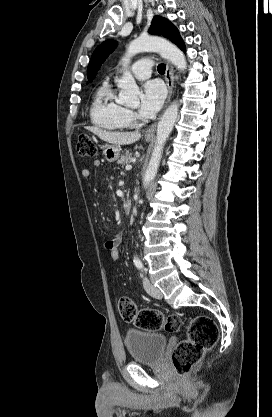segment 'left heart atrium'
<instances>
[{"mask_svg": "<svg viewBox=\"0 0 272 417\" xmlns=\"http://www.w3.org/2000/svg\"><path fill=\"white\" fill-rule=\"evenodd\" d=\"M166 96L163 84L157 80L146 82L142 87L139 110L144 116L155 114L162 106Z\"/></svg>", "mask_w": 272, "mask_h": 417, "instance_id": "obj_1", "label": "left heart atrium"}]
</instances>
